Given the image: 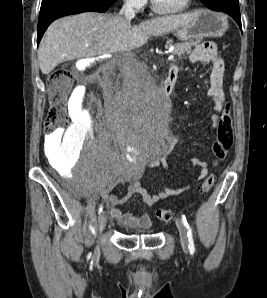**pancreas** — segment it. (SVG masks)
Listing matches in <instances>:
<instances>
[{"instance_id": "1", "label": "pancreas", "mask_w": 267, "mask_h": 298, "mask_svg": "<svg viewBox=\"0 0 267 298\" xmlns=\"http://www.w3.org/2000/svg\"><path fill=\"white\" fill-rule=\"evenodd\" d=\"M198 44V41H189L185 43H176V44H168L166 47L173 46V54L177 55L178 57H181L182 55L189 54L192 50V46H195ZM139 97V96H137Z\"/></svg>"}]
</instances>
